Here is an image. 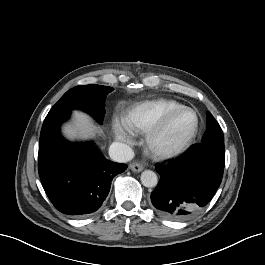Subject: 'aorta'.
<instances>
[{
    "mask_svg": "<svg viewBox=\"0 0 265 265\" xmlns=\"http://www.w3.org/2000/svg\"><path fill=\"white\" fill-rule=\"evenodd\" d=\"M140 179H141V183L143 184V186L148 187V188L155 187L158 183V177L156 173L151 170L143 171Z\"/></svg>",
    "mask_w": 265,
    "mask_h": 265,
    "instance_id": "762f6f07",
    "label": "aorta"
}]
</instances>
